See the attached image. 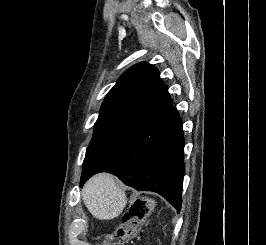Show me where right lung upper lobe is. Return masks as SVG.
Listing matches in <instances>:
<instances>
[{
  "label": "right lung upper lobe",
  "mask_w": 266,
  "mask_h": 245,
  "mask_svg": "<svg viewBox=\"0 0 266 245\" xmlns=\"http://www.w3.org/2000/svg\"><path fill=\"white\" fill-rule=\"evenodd\" d=\"M172 107L157 68L138 63L129 68L106 95L99 116L146 120Z\"/></svg>",
  "instance_id": "1"
}]
</instances>
